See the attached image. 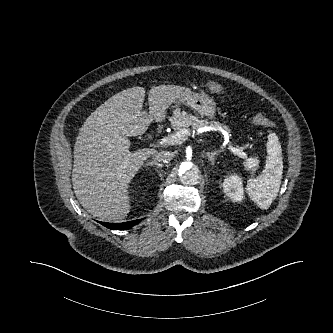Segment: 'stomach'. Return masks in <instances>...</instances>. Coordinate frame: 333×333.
I'll use <instances>...</instances> for the list:
<instances>
[{"mask_svg": "<svg viewBox=\"0 0 333 333\" xmlns=\"http://www.w3.org/2000/svg\"><path fill=\"white\" fill-rule=\"evenodd\" d=\"M178 102L192 108L194 111L200 114L201 117L206 116L209 119L214 118L216 110L215 102L205 93H196L190 91L187 95L179 99Z\"/></svg>", "mask_w": 333, "mask_h": 333, "instance_id": "0dacf381", "label": "stomach"}]
</instances>
